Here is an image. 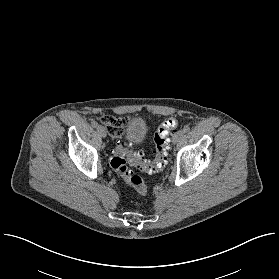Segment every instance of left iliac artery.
I'll list each match as a JSON object with an SVG mask.
<instances>
[{"instance_id":"44dca946","label":"left iliac artery","mask_w":279,"mask_h":279,"mask_svg":"<svg viewBox=\"0 0 279 279\" xmlns=\"http://www.w3.org/2000/svg\"><path fill=\"white\" fill-rule=\"evenodd\" d=\"M184 133H187L190 131V127L188 125H185L183 128Z\"/></svg>"}]
</instances>
